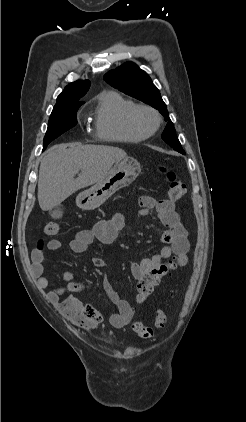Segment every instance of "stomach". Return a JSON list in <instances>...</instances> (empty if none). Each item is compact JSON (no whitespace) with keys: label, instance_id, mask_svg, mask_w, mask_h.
Masks as SVG:
<instances>
[{"label":"stomach","instance_id":"0dacf381","mask_svg":"<svg viewBox=\"0 0 246 422\" xmlns=\"http://www.w3.org/2000/svg\"><path fill=\"white\" fill-rule=\"evenodd\" d=\"M140 172L136 159L126 157L119 160L101 181L77 196V205L83 210L99 207L116 191L129 186Z\"/></svg>","mask_w":246,"mask_h":422}]
</instances>
